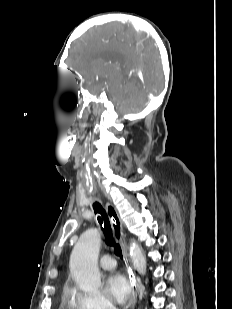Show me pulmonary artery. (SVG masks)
<instances>
[{
  "mask_svg": "<svg viewBox=\"0 0 232 309\" xmlns=\"http://www.w3.org/2000/svg\"><path fill=\"white\" fill-rule=\"evenodd\" d=\"M99 264L102 269L104 270H111L115 267V259L111 255H104L100 261Z\"/></svg>",
  "mask_w": 232,
  "mask_h": 309,
  "instance_id": "1",
  "label": "pulmonary artery"
}]
</instances>
